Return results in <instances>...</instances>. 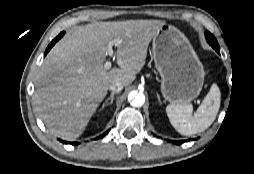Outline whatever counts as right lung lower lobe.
Instances as JSON below:
<instances>
[{"mask_svg":"<svg viewBox=\"0 0 254 174\" xmlns=\"http://www.w3.org/2000/svg\"><path fill=\"white\" fill-rule=\"evenodd\" d=\"M65 34V32H61L47 47L44 56H46V54L50 51V49L54 46V44ZM109 131L105 132L104 134L100 135L98 138H102L103 136H105ZM61 142L66 143V144H72V145H78V142H65L63 140H61Z\"/></svg>","mask_w":254,"mask_h":174,"instance_id":"98d812e1","label":"right lung lower lobe"}]
</instances>
